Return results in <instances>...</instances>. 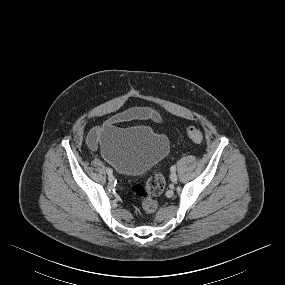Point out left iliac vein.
Returning <instances> with one entry per match:
<instances>
[{
    "mask_svg": "<svg viewBox=\"0 0 285 285\" xmlns=\"http://www.w3.org/2000/svg\"><path fill=\"white\" fill-rule=\"evenodd\" d=\"M170 180H171L172 182H176V181L178 180V176H177V174H176L175 172H172V173L170 174Z\"/></svg>",
    "mask_w": 285,
    "mask_h": 285,
    "instance_id": "obj_1",
    "label": "left iliac vein"
}]
</instances>
